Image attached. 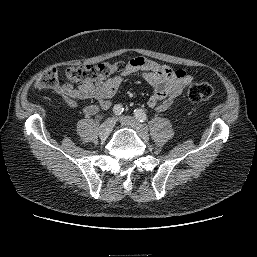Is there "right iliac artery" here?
Masks as SVG:
<instances>
[{"instance_id": "obj_1", "label": "right iliac artery", "mask_w": 257, "mask_h": 257, "mask_svg": "<svg viewBox=\"0 0 257 257\" xmlns=\"http://www.w3.org/2000/svg\"><path fill=\"white\" fill-rule=\"evenodd\" d=\"M123 110L124 108L120 104L115 105L113 108V112L115 115H120L123 112Z\"/></svg>"}]
</instances>
